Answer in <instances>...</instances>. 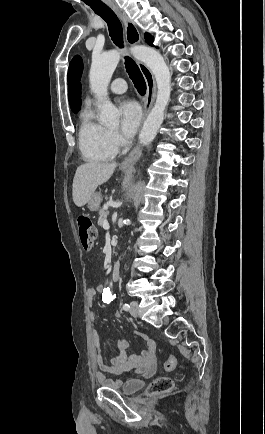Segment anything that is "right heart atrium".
Segmentation results:
<instances>
[{"label": "right heart atrium", "instance_id": "d8ad5b80", "mask_svg": "<svg viewBox=\"0 0 265 434\" xmlns=\"http://www.w3.org/2000/svg\"><path fill=\"white\" fill-rule=\"evenodd\" d=\"M107 132H109V143L110 149L112 151H122L124 149L125 138L119 136L116 131V127H107Z\"/></svg>", "mask_w": 265, "mask_h": 434}]
</instances>
